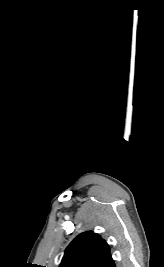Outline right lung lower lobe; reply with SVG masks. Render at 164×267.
Returning <instances> with one entry per match:
<instances>
[{"label":"right lung lower lobe","mask_w":164,"mask_h":267,"mask_svg":"<svg viewBox=\"0 0 164 267\" xmlns=\"http://www.w3.org/2000/svg\"><path fill=\"white\" fill-rule=\"evenodd\" d=\"M102 267H115V264L112 258L108 260L104 265H102Z\"/></svg>","instance_id":"obj_1"}]
</instances>
